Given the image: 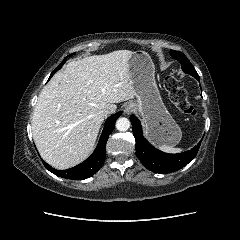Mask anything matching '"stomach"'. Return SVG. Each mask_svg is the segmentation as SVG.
<instances>
[{"mask_svg":"<svg viewBox=\"0 0 240 240\" xmlns=\"http://www.w3.org/2000/svg\"><path fill=\"white\" fill-rule=\"evenodd\" d=\"M128 71L136 92L134 106L142 116L146 137L157 145H177L182 132L163 104L149 54L143 50L133 52L128 60Z\"/></svg>","mask_w":240,"mask_h":240,"instance_id":"0dacf381","label":"stomach"}]
</instances>
